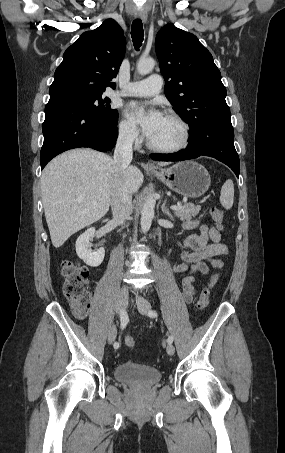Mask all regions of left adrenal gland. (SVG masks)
<instances>
[{
	"instance_id": "1",
	"label": "left adrenal gland",
	"mask_w": 285,
	"mask_h": 453,
	"mask_svg": "<svg viewBox=\"0 0 285 453\" xmlns=\"http://www.w3.org/2000/svg\"><path fill=\"white\" fill-rule=\"evenodd\" d=\"M161 209H162V212H163L164 214H166V215L170 218V220H174L173 215L171 214V212L169 211V209L166 207V200L164 201V203H163Z\"/></svg>"
}]
</instances>
